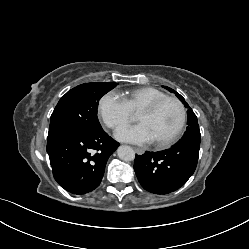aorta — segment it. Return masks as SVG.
I'll return each instance as SVG.
<instances>
[{
    "label": "aorta",
    "instance_id": "obj_1",
    "mask_svg": "<svg viewBox=\"0 0 249 249\" xmlns=\"http://www.w3.org/2000/svg\"><path fill=\"white\" fill-rule=\"evenodd\" d=\"M118 157L123 161H133L135 159L134 150L127 145H122L117 149Z\"/></svg>",
    "mask_w": 249,
    "mask_h": 249
}]
</instances>
